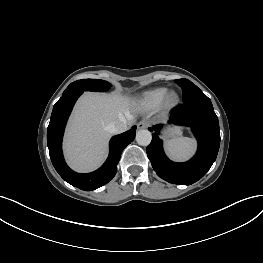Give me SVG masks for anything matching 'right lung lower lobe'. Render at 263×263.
I'll use <instances>...</instances> for the list:
<instances>
[{
    "label": "right lung lower lobe",
    "mask_w": 263,
    "mask_h": 263,
    "mask_svg": "<svg viewBox=\"0 0 263 263\" xmlns=\"http://www.w3.org/2000/svg\"><path fill=\"white\" fill-rule=\"evenodd\" d=\"M82 93V91L69 93L62 96L54 105L47 129V144L52 164L59 175L69 184L85 191H91L113 179L123 149L135 138L136 126L110 140L109 157L98 170L88 174H78L72 171L63 158L62 137L71 110Z\"/></svg>",
    "instance_id": "1"
}]
</instances>
